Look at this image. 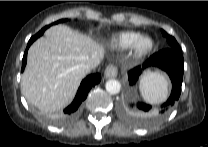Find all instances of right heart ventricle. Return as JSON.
<instances>
[{
    "label": "right heart ventricle",
    "instance_id": "e07e8e85",
    "mask_svg": "<svg viewBox=\"0 0 208 147\" xmlns=\"http://www.w3.org/2000/svg\"><path fill=\"white\" fill-rule=\"evenodd\" d=\"M141 35L138 31L126 30L115 33L108 38V45L116 50L125 51L132 47L134 41Z\"/></svg>",
    "mask_w": 208,
    "mask_h": 147
}]
</instances>
